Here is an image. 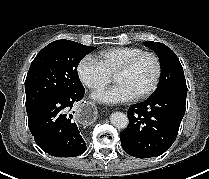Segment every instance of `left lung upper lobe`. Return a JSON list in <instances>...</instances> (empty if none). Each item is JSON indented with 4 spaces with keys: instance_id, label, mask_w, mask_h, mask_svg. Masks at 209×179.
Masks as SVG:
<instances>
[{
    "instance_id": "5c2ea615",
    "label": "left lung upper lobe",
    "mask_w": 209,
    "mask_h": 179,
    "mask_svg": "<svg viewBox=\"0 0 209 179\" xmlns=\"http://www.w3.org/2000/svg\"><path fill=\"white\" fill-rule=\"evenodd\" d=\"M143 44L154 50L160 59V82L158 88L151 97H155L174 88L187 87L180 61L169 47L153 41H146Z\"/></svg>"
}]
</instances>
